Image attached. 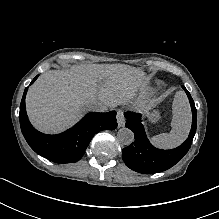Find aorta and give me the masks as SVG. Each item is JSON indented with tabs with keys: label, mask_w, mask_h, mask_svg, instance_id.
Instances as JSON below:
<instances>
[{
	"label": "aorta",
	"mask_w": 219,
	"mask_h": 219,
	"mask_svg": "<svg viewBox=\"0 0 219 219\" xmlns=\"http://www.w3.org/2000/svg\"><path fill=\"white\" fill-rule=\"evenodd\" d=\"M117 139L122 145L129 146L134 141V133L130 129L123 127L119 129Z\"/></svg>",
	"instance_id": "aorta-1"
}]
</instances>
